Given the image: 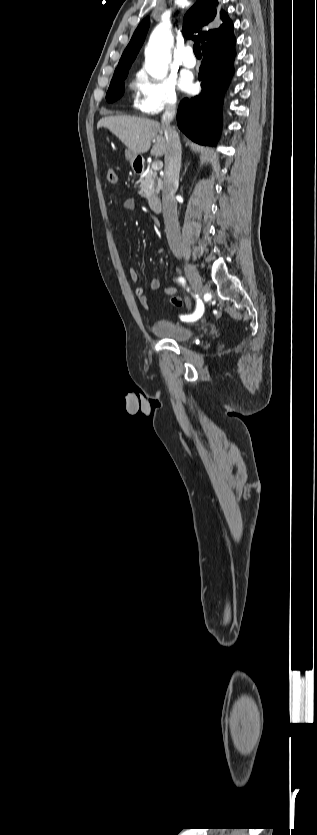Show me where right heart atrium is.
<instances>
[{
    "instance_id": "1",
    "label": "right heart atrium",
    "mask_w": 317,
    "mask_h": 835,
    "mask_svg": "<svg viewBox=\"0 0 317 835\" xmlns=\"http://www.w3.org/2000/svg\"><path fill=\"white\" fill-rule=\"evenodd\" d=\"M135 85L138 91L135 106L144 115L156 116L171 111L178 103L175 81L170 77L154 79L139 72Z\"/></svg>"
}]
</instances>
